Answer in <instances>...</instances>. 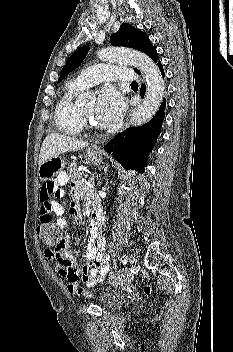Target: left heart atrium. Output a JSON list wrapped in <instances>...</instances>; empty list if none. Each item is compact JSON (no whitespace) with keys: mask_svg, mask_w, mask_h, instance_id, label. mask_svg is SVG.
Segmentation results:
<instances>
[{"mask_svg":"<svg viewBox=\"0 0 233 352\" xmlns=\"http://www.w3.org/2000/svg\"><path fill=\"white\" fill-rule=\"evenodd\" d=\"M125 111V99L113 87H105L96 103L94 117L97 123L109 128L114 126Z\"/></svg>","mask_w":233,"mask_h":352,"instance_id":"left-heart-atrium-1","label":"left heart atrium"}]
</instances>
